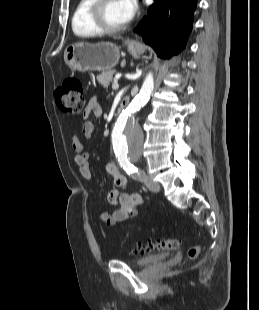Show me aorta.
<instances>
[{"instance_id": "762f6f07", "label": "aorta", "mask_w": 259, "mask_h": 310, "mask_svg": "<svg viewBox=\"0 0 259 310\" xmlns=\"http://www.w3.org/2000/svg\"><path fill=\"white\" fill-rule=\"evenodd\" d=\"M153 89V75L149 73L143 82L140 92L119 115L112 138L116 156L125 157L129 160L140 158L143 147V132L135 122L134 116L148 102Z\"/></svg>"}]
</instances>
